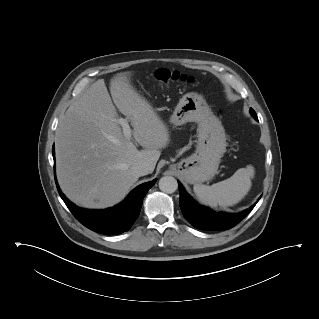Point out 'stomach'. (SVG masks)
<instances>
[{"label": "stomach", "instance_id": "stomach-1", "mask_svg": "<svg viewBox=\"0 0 319 319\" xmlns=\"http://www.w3.org/2000/svg\"><path fill=\"white\" fill-rule=\"evenodd\" d=\"M170 122L175 126L187 122L198 124L195 152L172 166L186 182L201 184L212 179L226 151V134L220 119L206 100L196 92L186 93L178 102Z\"/></svg>", "mask_w": 319, "mask_h": 319}]
</instances>
